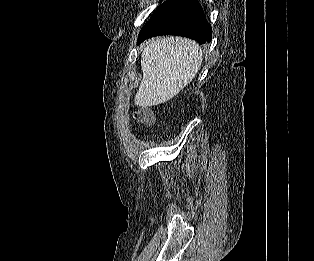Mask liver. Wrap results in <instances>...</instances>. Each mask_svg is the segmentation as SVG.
Returning <instances> with one entry per match:
<instances>
[{"label":"liver","mask_w":314,"mask_h":261,"mask_svg":"<svg viewBox=\"0 0 314 261\" xmlns=\"http://www.w3.org/2000/svg\"><path fill=\"white\" fill-rule=\"evenodd\" d=\"M203 59L199 45L181 37L151 41L141 55L143 78L135 104L150 107L177 95L197 74Z\"/></svg>","instance_id":"6515ba94"}]
</instances>
